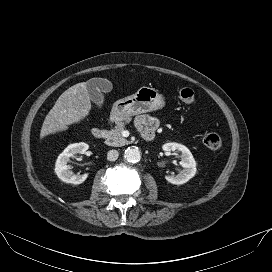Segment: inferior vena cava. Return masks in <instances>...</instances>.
<instances>
[{"instance_id": "602c4592", "label": "inferior vena cava", "mask_w": 272, "mask_h": 272, "mask_svg": "<svg viewBox=\"0 0 272 272\" xmlns=\"http://www.w3.org/2000/svg\"><path fill=\"white\" fill-rule=\"evenodd\" d=\"M118 156H119L118 151L115 150V149H112V150H110V151L108 152V154H107V159H108L109 161H115V160H117Z\"/></svg>"}]
</instances>
